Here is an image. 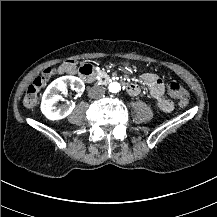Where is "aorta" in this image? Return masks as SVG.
I'll return each mask as SVG.
<instances>
[{"label":"aorta","instance_id":"obj_1","mask_svg":"<svg viewBox=\"0 0 217 217\" xmlns=\"http://www.w3.org/2000/svg\"><path fill=\"white\" fill-rule=\"evenodd\" d=\"M120 90V84L119 83H115L114 85V92H118Z\"/></svg>","mask_w":217,"mask_h":217}]
</instances>
